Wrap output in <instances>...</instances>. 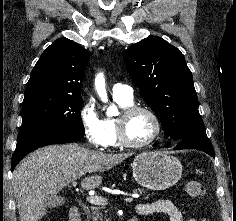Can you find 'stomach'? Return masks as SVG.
Segmentation results:
<instances>
[{
  "instance_id": "stomach-1",
  "label": "stomach",
  "mask_w": 236,
  "mask_h": 221,
  "mask_svg": "<svg viewBox=\"0 0 236 221\" xmlns=\"http://www.w3.org/2000/svg\"><path fill=\"white\" fill-rule=\"evenodd\" d=\"M132 169L138 184L151 190H164L174 186L183 171L182 164L176 157L158 151L137 155Z\"/></svg>"
}]
</instances>
